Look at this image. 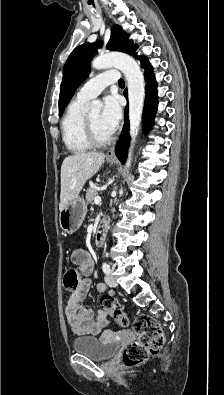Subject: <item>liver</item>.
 I'll list each match as a JSON object with an SVG mask.
<instances>
[{
	"label": "liver",
	"mask_w": 224,
	"mask_h": 395,
	"mask_svg": "<svg viewBox=\"0 0 224 395\" xmlns=\"http://www.w3.org/2000/svg\"><path fill=\"white\" fill-rule=\"evenodd\" d=\"M104 159L105 155L101 152H78L63 160L60 211L78 197L86 181L98 172Z\"/></svg>",
	"instance_id": "obj_1"
}]
</instances>
